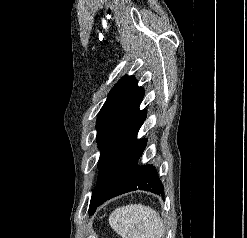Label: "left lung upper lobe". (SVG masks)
I'll return each instance as SVG.
<instances>
[{
    "label": "left lung upper lobe",
    "mask_w": 247,
    "mask_h": 238,
    "mask_svg": "<svg viewBox=\"0 0 247 238\" xmlns=\"http://www.w3.org/2000/svg\"><path fill=\"white\" fill-rule=\"evenodd\" d=\"M143 97L144 90L137 85L135 77L126 75L112 88L98 114L97 143L101 155L97 187L92 193L89 214L97 208V189L105 171L146 119V110H139Z\"/></svg>",
    "instance_id": "obj_1"
}]
</instances>
